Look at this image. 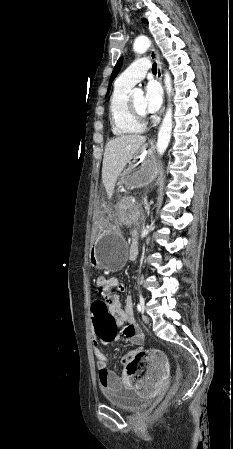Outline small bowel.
Returning a JSON list of instances; mask_svg holds the SVG:
<instances>
[{"label":"small bowel","mask_w":233,"mask_h":449,"mask_svg":"<svg viewBox=\"0 0 233 449\" xmlns=\"http://www.w3.org/2000/svg\"><path fill=\"white\" fill-rule=\"evenodd\" d=\"M130 254L134 255L131 252ZM114 288L124 289L119 280L112 278L111 274H97L93 280L96 296H99V301H106L107 310H109L111 318L115 319L117 330L119 329L116 342L121 341L133 346H141L144 343V335L134 319L133 299L128 295L122 304L119 297L112 293ZM97 338V334H93L92 350L96 359L101 387L107 389L117 387L121 383L131 384V390H137L140 399H155L156 394L160 393L164 377H167L169 372V363H165L166 355L163 354V348H146V355L149 356L150 363H148V368H143L142 375L124 374L123 377H118L107 368L108 359L101 351ZM130 355H132L131 352L126 356Z\"/></svg>","instance_id":"1"}]
</instances>
